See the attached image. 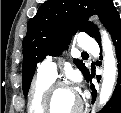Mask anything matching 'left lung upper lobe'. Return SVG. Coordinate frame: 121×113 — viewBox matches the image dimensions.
<instances>
[{"label": "left lung upper lobe", "instance_id": "1", "mask_svg": "<svg viewBox=\"0 0 121 113\" xmlns=\"http://www.w3.org/2000/svg\"><path fill=\"white\" fill-rule=\"evenodd\" d=\"M93 14L100 17L109 32L119 17L113 0H47L40 6L37 14L29 20L23 40L22 88L25 96L37 63L47 55H60L77 31L86 32L100 42L97 27L85 16ZM74 63L88 80L89 70L82 60L76 59Z\"/></svg>", "mask_w": 121, "mask_h": 113}]
</instances>
